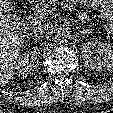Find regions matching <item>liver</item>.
Instances as JSON below:
<instances>
[{"label":"liver","instance_id":"obj_1","mask_svg":"<svg viewBox=\"0 0 113 113\" xmlns=\"http://www.w3.org/2000/svg\"><path fill=\"white\" fill-rule=\"evenodd\" d=\"M11 0H0V86L12 77L18 61L24 37L19 35L10 22Z\"/></svg>","mask_w":113,"mask_h":113}]
</instances>
